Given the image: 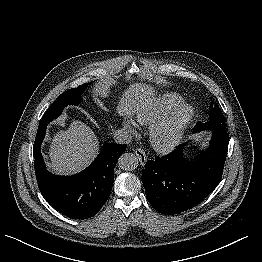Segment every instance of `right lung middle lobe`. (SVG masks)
I'll return each instance as SVG.
<instances>
[{
    "label": "right lung middle lobe",
    "mask_w": 262,
    "mask_h": 262,
    "mask_svg": "<svg viewBox=\"0 0 262 262\" xmlns=\"http://www.w3.org/2000/svg\"><path fill=\"white\" fill-rule=\"evenodd\" d=\"M87 86L88 83L82 84L77 88L67 90L61 94L45 112L42 120H52L57 118L67 105H78L80 103V96Z\"/></svg>",
    "instance_id": "obj_1"
}]
</instances>
